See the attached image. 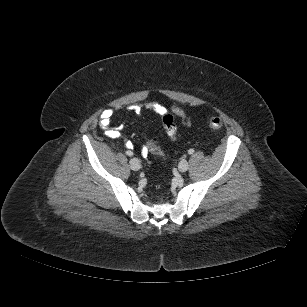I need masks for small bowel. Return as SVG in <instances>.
Instances as JSON below:
<instances>
[{
	"mask_svg": "<svg viewBox=\"0 0 307 307\" xmlns=\"http://www.w3.org/2000/svg\"><path fill=\"white\" fill-rule=\"evenodd\" d=\"M142 108H143L142 105H139V104L132 105L130 107V109L135 114H140ZM145 108L148 110H152L161 116L166 113V109L163 106L156 104V103H149L145 106ZM172 111L176 116H178L182 120V123L184 125L186 126L190 125L191 123L190 118L187 116V114L182 108H180L177 105H174L172 107ZM112 117H113V111L111 109H106L101 113L99 120H98V124L101 127V129L104 131L107 137L117 139L121 137V131L124 130V126L123 125L112 126L111 125ZM125 144L129 148L132 146V143L128 140H126ZM142 155L143 156L147 155L146 148L142 149Z\"/></svg>",
	"mask_w": 307,
	"mask_h": 307,
	"instance_id": "c3829d8e",
	"label": "small bowel"
}]
</instances>
